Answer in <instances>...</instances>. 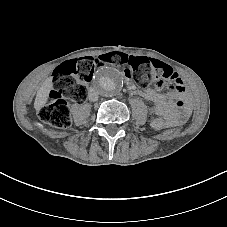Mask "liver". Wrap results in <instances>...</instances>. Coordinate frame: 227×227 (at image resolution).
I'll list each match as a JSON object with an SVG mask.
<instances>
[{
    "mask_svg": "<svg viewBox=\"0 0 227 227\" xmlns=\"http://www.w3.org/2000/svg\"><path fill=\"white\" fill-rule=\"evenodd\" d=\"M51 89V80L47 79L39 88L36 94L34 106L39 111L47 101L48 91Z\"/></svg>",
    "mask_w": 227,
    "mask_h": 227,
    "instance_id": "6515ba94",
    "label": "liver"
}]
</instances>
